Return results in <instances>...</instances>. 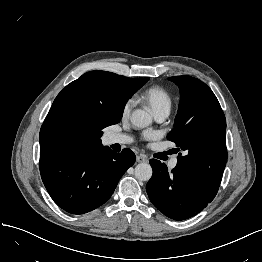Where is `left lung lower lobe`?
Listing matches in <instances>:
<instances>
[{
    "label": "left lung lower lobe",
    "mask_w": 262,
    "mask_h": 262,
    "mask_svg": "<svg viewBox=\"0 0 262 262\" xmlns=\"http://www.w3.org/2000/svg\"><path fill=\"white\" fill-rule=\"evenodd\" d=\"M153 175L146 186L152 204L165 216L174 220H186L201 212L212 200L201 192L185 176L174 168L171 173L159 160L149 161Z\"/></svg>",
    "instance_id": "obj_1"
}]
</instances>
